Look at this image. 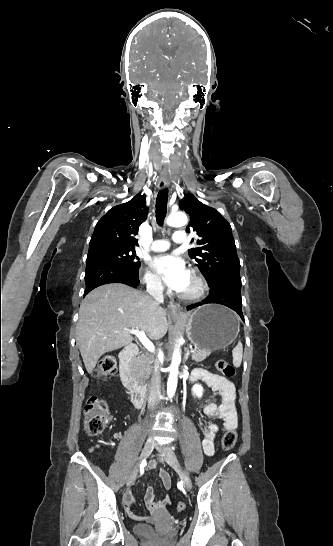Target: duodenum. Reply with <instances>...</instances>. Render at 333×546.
<instances>
[{
	"instance_id": "duodenum-1",
	"label": "duodenum",
	"mask_w": 333,
	"mask_h": 546,
	"mask_svg": "<svg viewBox=\"0 0 333 546\" xmlns=\"http://www.w3.org/2000/svg\"><path fill=\"white\" fill-rule=\"evenodd\" d=\"M139 350L134 345L127 346L120 357V377L132 403L142 407L147 399L146 389L137 381L134 374V360Z\"/></svg>"
}]
</instances>
